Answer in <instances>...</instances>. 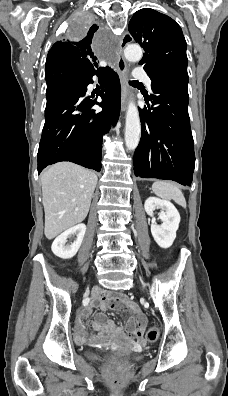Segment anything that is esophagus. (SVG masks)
<instances>
[{
    "mask_svg": "<svg viewBox=\"0 0 228 396\" xmlns=\"http://www.w3.org/2000/svg\"><path fill=\"white\" fill-rule=\"evenodd\" d=\"M129 38L126 35H123L118 48L117 53V63L116 70L118 72L120 83H121V111L124 112L126 110L127 99L129 95V86H128V69L127 63L123 57L122 50L128 44Z\"/></svg>",
    "mask_w": 228,
    "mask_h": 396,
    "instance_id": "obj_1",
    "label": "esophagus"
}]
</instances>
